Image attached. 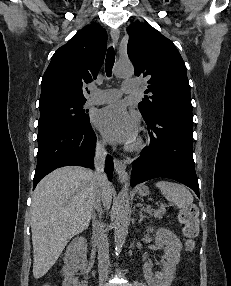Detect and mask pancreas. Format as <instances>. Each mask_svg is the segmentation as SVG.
<instances>
[{
	"mask_svg": "<svg viewBox=\"0 0 231 286\" xmlns=\"http://www.w3.org/2000/svg\"><path fill=\"white\" fill-rule=\"evenodd\" d=\"M149 213L150 215H154L155 218L161 219L162 215L166 213V209L161 207L160 209L154 210L153 213L151 211Z\"/></svg>",
	"mask_w": 231,
	"mask_h": 286,
	"instance_id": "cf45deb5",
	"label": "pancreas"
}]
</instances>
